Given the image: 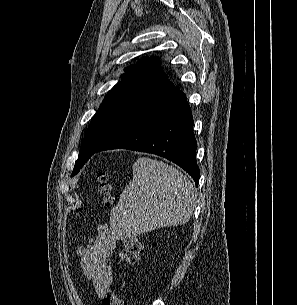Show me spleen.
<instances>
[{
	"instance_id": "spleen-1",
	"label": "spleen",
	"mask_w": 297,
	"mask_h": 305,
	"mask_svg": "<svg viewBox=\"0 0 297 305\" xmlns=\"http://www.w3.org/2000/svg\"><path fill=\"white\" fill-rule=\"evenodd\" d=\"M132 169V180L110 212V227L116 237L136 236L189 221L196 192L184 174L146 157L137 159Z\"/></svg>"
}]
</instances>
